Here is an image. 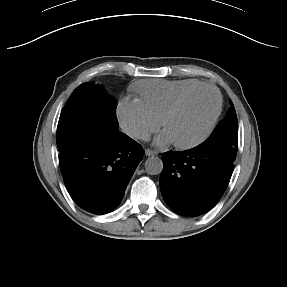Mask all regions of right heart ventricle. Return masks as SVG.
Here are the masks:
<instances>
[{
  "instance_id": "obj_1",
  "label": "right heart ventricle",
  "mask_w": 287,
  "mask_h": 287,
  "mask_svg": "<svg viewBox=\"0 0 287 287\" xmlns=\"http://www.w3.org/2000/svg\"><path fill=\"white\" fill-rule=\"evenodd\" d=\"M203 84L195 79L145 80L136 85L140 100L160 121L170 106L188 89Z\"/></svg>"
}]
</instances>
